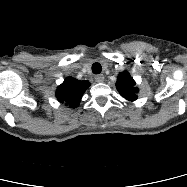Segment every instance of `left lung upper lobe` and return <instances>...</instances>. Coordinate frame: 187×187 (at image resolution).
I'll list each match as a JSON object with an SVG mask.
<instances>
[{
  "instance_id": "5c2ea615",
  "label": "left lung upper lobe",
  "mask_w": 187,
  "mask_h": 187,
  "mask_svg": "<svg viewBox=\"0 0 187 187\" xmlns=\"http://www.w3.org/2000/svg\"><path fill=\"white\" fill-rule=\"evenodd\" d=\"M135 81L127 71L119 73L116 87L118 92L127 100L134 101L137 99L139 89L135 87Z\"/></svg>"
}]
</instances>
